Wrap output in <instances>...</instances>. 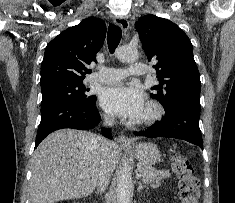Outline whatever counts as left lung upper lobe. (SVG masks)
I'll list each match as a JSON object with an SVG mask.
<instances>
[{
    "label": "left lung upper lobe",
    "mask_w": 235,
    "mask_h": 203,
    "mask_svg": "<svg viewBox=\"0 0 235 203\" xmlns=\"http://www.w3.org/2000/svg\"><path fill=\"white\" fill-rule=\"evenodd\" d=\"M142 47L148 60L156 59L153 67L159 84L151 94L164 107L193 102L200 105V75L193 58L188 36L173 22L152 14L136 22Z\"/></svg>",
    "instance_id": "1"
}]
</instances>
